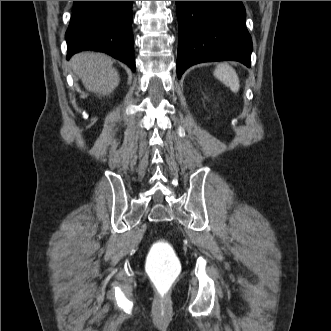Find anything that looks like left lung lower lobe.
I'll use <instances>...</instances> for the list:
<instances>
[{
  "label": "left lung lower lobe",
  "mask_w": 331,
  "mask_h": 331,
  "mask_svg": "<svg viewBox=\"0 0 331 331\" xmlns=\"http://www.w3.org/2000/svg\"><path fill=\"white\" fill-rule=\"evenodd\" d=\"M178 78L202 62L235 60L250 67L252 40L242 1H176Z\"/></svg>",
  "instance_id": "left-lung-lower-lobe-1"
}]
</instances>
